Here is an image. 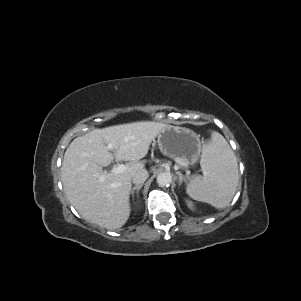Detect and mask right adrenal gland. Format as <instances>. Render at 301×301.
Returning <instances> with one entry per match:
<instances>
[{
    "label": "right adrenal gland",
    "mask_w": 301,
    "mask_h": 301,
    "mask_svg": "<svg viewBox=\"0 0 301 301\" xmlns=\"http://www.w3.org/2000/svg\"><path fill=\"white\" fill-rule=\"evenodd\" d=\"M142 186H143V185L141 184V185H137V186L133 187L132 190H131V192H130L131 195H134V192H135V191H137V193H138L139 190L142 188Z\"/></svg>",
    "instance_id": "right-adrenal-gland-1"
}]
</instances>
